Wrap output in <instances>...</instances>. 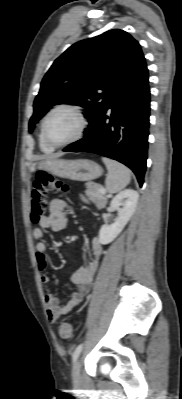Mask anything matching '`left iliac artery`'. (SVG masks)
Listing matches in <instances>:
<instances>
[{
    "label": "left iliac artery",
    "instance_id": "44dca946",
    "mask_svg": "<svg viewBox=\"0 0 182 399\" xmlns=\"http://www.w3.org/2000/svg\"><path fill=\"white\" fill-rule=\"evenodd\" d=\"M82 347H83V344H79V345L75 348V350H74V352H73V354H72V360H73V362H75V361L77 360L78 356H79L80 353H81Z\"/></svg>",
    "mask_w": 182,
    "mask_h": 399
}]
</instances>
